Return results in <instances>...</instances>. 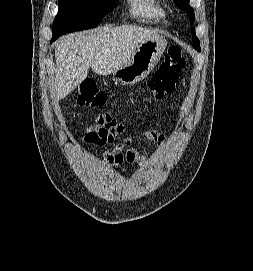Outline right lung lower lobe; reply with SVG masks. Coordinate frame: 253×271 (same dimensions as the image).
Listing matches in <instances>:
<instances>
[{
	"label": "right lung lower lobe",
	"mask_w": 253,
	"mask_h": 271,
	"mask_svg": "<svg viewBox=\"0 0 253 271\" xmlns=\"http://www.w3.org/2000/svg\"><path fill=\"white\" fill-rule=\"evenodd\" d=\"M54 40H56V39L52 38L51 43H52Z\"/></svg>",
	"instance_id": "obj_1"
}]
</instances>
